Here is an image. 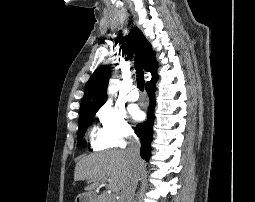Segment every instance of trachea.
Masks as SVG:
<instances>
[{"instance_id":"trachea-1","label":"trachea","mask_w":255,"mask_h":202,"mask_svg":"<svg viewBox=\"0 0 255 202\" xmlns=\"http://www.w3.org/2000/svg\"><path fill=\"white\" fill-rule=\"evenodd\" d=\"M135 69H136V73H137V86L141 91H143L144 84H145L144 72H143L142 67L137 59L135 61Z\"/></svg>"}]
</instances>
